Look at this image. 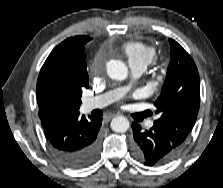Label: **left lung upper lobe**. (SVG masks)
Masks as SVG:
<instances>
[{"mask_svg": "<svg viewBox=\"0 0 223 188\" xmlns=\"http://www.w3.org/2000/svg\"><path fill=\"white\" fill-rule=\"evenodd\" d=\"M171 61L162 92L155 101L156 113L161 116L154 124L183 146L193 128L200 104V79L190 55L174 40L169 39Z\"/></svg>", "mask_w": 223, "mask_h": 188, "instance_id": "obj_1", "label": "left lung upper lobe"}]
</instances>
